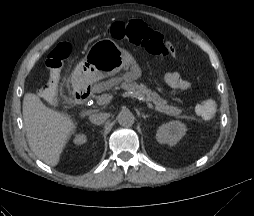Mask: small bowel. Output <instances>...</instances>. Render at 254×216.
<instances>
[{"instance_id": "obj_1", "label": "small bowel", "mask_w": 254, "mask_h": 216, "mask_svg": "<svg viewBox=\"0 0 254 216\" xmlns=\"http://www.w3.org/2000/svg\"><path fill=\"white\" fill-rule=\"evenodd\" d=\"M162 43L167 48L171 58L174 62L179 60V55L177 53L176 47H174L167 37L162 39ZM164 81L168 85L170 93L172 95L180 92L185 91L189 88V82L184 79L179 73L177 72H168L164 76Z\"/></svg>"}]
</instances>
